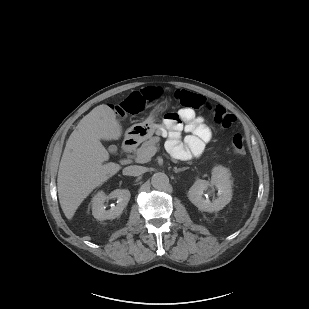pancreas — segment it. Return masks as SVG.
Segmentation results:
<instances>
[{"label":"pancreas","mask_w":309,"mask_h":309,"mask_svg":"<svg viewBox=\"0 0 309 309\" xmlns=\"http://www.w3.org/2000/svg\"><path fill=\"white\" fill-rule=\"evenodd\" d=\"M160 141L159 137H152L148 141H145L140 148H138L135 152L136 154V161L139 163H146L150 161L151 158H149L146 153L150 148H156V145Z\"/></svg>","instance_id":"pancreas-1"}]
</instances>
